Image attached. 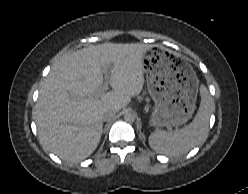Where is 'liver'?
I'll return each mask as SVG.
<instances>
[{"mask_svg":"<svg viewBox=\"0 0 248 194\" xmlns=\"http://www.w3.org/2000/svg\"><path fill=\"white\" fill-rule=\"evenodd\" d=\"M152 47L143 43H104L64 56L45 78L34 118L40 143L61 159L83 160L97 148L104 114L120 111L143 89L142 56ZM111 66L112 91L100 99L103 67Z\"/></svg>","mask_w":248,"mask_h":194,"instance_id":"1","label":"liver"}]
</instances>
